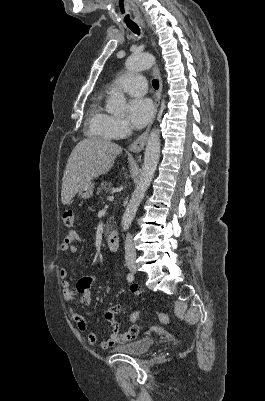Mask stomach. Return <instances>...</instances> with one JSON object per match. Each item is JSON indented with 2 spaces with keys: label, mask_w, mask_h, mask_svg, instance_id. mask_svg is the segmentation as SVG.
Wrapping results in <instances>:
<instances>
[{
  "label": "stomach",
  "mask_w": 265,
  "mask_h": 401,
  "mask_svg": "<svg viewBox=\"0 0 265 401\" xmlns=\"http://www.w3.org/2000/svg\"><path fill=\"white\" fill-rule=\"evenodd\" d=\"M93 188L94 182H91L90 180V182L82 184L81 188L78 190V194L81 196V198H90V196H92Z\"/></svg>",
  "instance_id": "0dacf381"
}]
</instances>
